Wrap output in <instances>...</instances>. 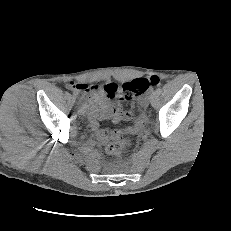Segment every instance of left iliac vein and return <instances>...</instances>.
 Returning <instances> with one entry per match:
<instances>
[{"label":"left iliac vein","instance_id":"1","mask_svg":"<svg viewBox=\"0 0 231 231\" xmlns=\"http://www.w3.org/2000/svg\"><path fill=\"white\" fill-rule=\"evenodd\" d=\"M148 104H149V96H148V95H145V96L142 98V100H141V105H142L143 107H146V106H148Z\"/></svg>","mask_w":231,"mask_h":231}]
</instances>
